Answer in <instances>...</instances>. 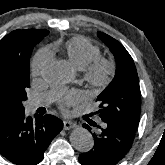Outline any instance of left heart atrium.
<instances>
[{
	"label": "left heart atrium",
	"mask_w": 165,
	"mask_h": 165,
	"mask_svg": "<svg viewBox=\"0 0 165 165\" xmlns=\"http://www.w3.org/2000/svg\"><path fill=\"white\" fill-rule=\"evenodd\" d=\"M79 101L80 95L75 93L67 94L60 100V106L61 108L65 109L69 106L75 105Z\"/></svg>",
	"instance_id": "1"
}]
</instances>
